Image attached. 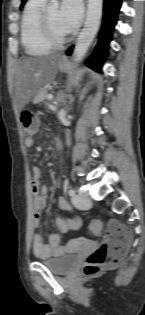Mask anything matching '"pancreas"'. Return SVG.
<instances>
[{"instance_id": "cf45deb5", "label": "pancreas", "mask_w": 145, "mask_h": 315, "mask_svg": "<svg viewBox=\"0 0 145 315\" xmlns=\"http://www.w3.org/2000/svg\"><path fill=\"white\" fill-rule=\"evenodd\" d=\"M47 96L48 90H42L38 95V99H41L42 101H47Z\"/></svg>"}]
</instances>
